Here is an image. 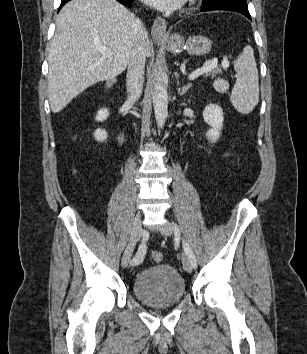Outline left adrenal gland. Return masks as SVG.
I'll use <instances>...</instances> for the list:
<instances>
[{"label": "left adrenal gland", "mask_w": 307, "mask_h": 354, "mask_svg": "<svg viewBox=\"0 0 307 354\" xmlns=\"http://www.w3.org/2000/svg\"><path fill=\"white\" fill-rule=\"evenodd\" d=\"M190 87H191V83H188L187 85L183 86L182 89L177 88L178 93L180 95H184L190 89Z\"/></svg>", "instance_id": "obj_1"}]
</instances>
